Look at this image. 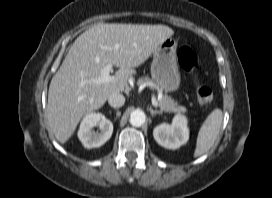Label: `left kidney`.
<instances>
[{"mask_svg":"<svg viewBox=\"0 0 272 198\" xmlns=\"http://www.w3.org/2000/svg\"><path fill=\"white\" fill-rule=\"evenodd\" d=\"M153 136L159 145L168 149H178L189 139L187 118L183 115L174 116L171 125L163 123L157 126Z\"/></svg>","mask_w":272,"mask_h":198,"instance_id":"1","label":"left kidney"}]
</instances>
